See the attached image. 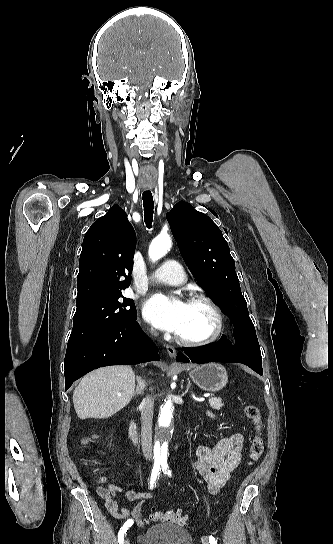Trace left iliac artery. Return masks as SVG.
I'll return each mask as SVG.
<instances>
[{
  "instance_id": "1",
  "label": "left iliac artery",
  "mask_w": 333,
  "mask_h": 544,
  "mask_svg": "<svg viewBox=\"0 0 333 544\" xmlns=\"http://www.w3.org/2000/svg\"><path fill=\"white\" fill-rule=\"evenodd\" d=\"M162 471L168 476L172 475V472L169 469L168 464L166 462L162 463ZM209 543L210 544H217V541L215 540V538L213 536H209Z\"/></svg>"
}]
</instances>
